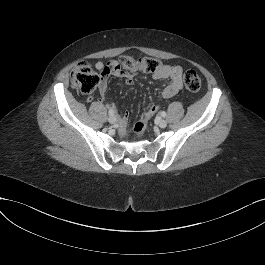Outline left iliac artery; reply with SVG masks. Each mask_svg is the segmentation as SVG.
I'll return each mask as SVG.
<instances>
[{"label": "left iliac artery", "instance_id": "left-iliac-artery-1", "mask_svg": "<svg viewBox=\"0 0 265 265\" xmlns=\"http://www.w3.org/2000/svg\"><path fill=\"white\" fill-rule=\"evenodd\" d=\"M161 116H162V117H166V112L162 111V112H161Z\"/></svg>", "mask_w": 265, "mask_h": 265}]
</instances>
